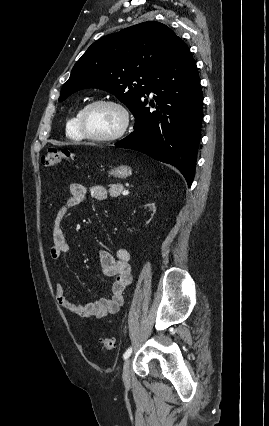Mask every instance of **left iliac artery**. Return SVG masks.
<instances>
[{
  "mask_svg": "<svg viewBox=\"0 0 269 426\" xmlns=\"http://www.w3.org/2000/svg\"><path fill=\"white\" fill-rule=\"evenodd\" d=\"M132 353V347L128 348L126 352L123 354V358L127 359Z\"/></svg>",
  "mask_w": 269,
  "mask_h": 426,
  "instance_id": "44dca946",
  "label": "left iliac artery"
}]
</instances>
